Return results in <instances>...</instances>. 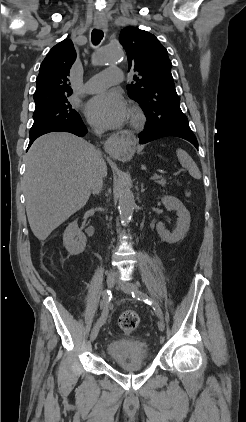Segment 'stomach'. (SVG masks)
Listing matches in <instances>:
<instances>
[{
  "label": "stomach",
  "mask_w": 246,
  "mask_h": 422,
  "mask_svg": "<svg viewBox=\"0 0 246 422\" xmlns=\"http://www.w3.org/2000/svg\"><path fill=\"white\" fill-rule=\"evenodd\" d=\"M133 153H134V150L133 149H127V151L125 152L124 157L126 159H130L132 157Z\"/></svg>",
  "instance_id": "obj_1"
}]
</instances>
